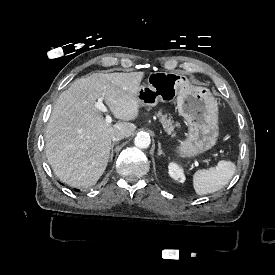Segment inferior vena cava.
Here are the masks:
<instances>
[{
    "mask_svg": "<svg viewBox=\"0 0 275 275\" xmlns=\"http://www.w3.org/2000/svg\"><path fill=\"white\" fill-rule=\"evenodd\" d=\"M124 137H125V133L121 130H117L112 135V141L118 142V141L122 140Z\"/></svg>",
    "mask_w": 275,
    "mask_h": 275,
    "instance_id": "602c4592",
    "label": "inferior vena cava"
}]
</instances>
